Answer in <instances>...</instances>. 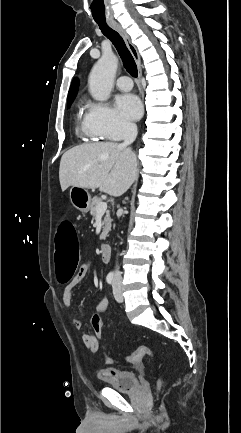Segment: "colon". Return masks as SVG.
<instances>
[{
  "label": "colon",
  "instance_id": "5ec220e1",
  "mask_svg": "<svg viewBox=\"0 0 241 433\" xmlns=\"http://www.w3.org/2000/svg\"><path fill=\"white\" fill-rule=\"evenodd\" d=\"M77 227L73 220H62L60 225H55V230L51 231V246L57 270V279L60 283H67L76 270L79 262V245L77 238H74ZM89 323L93 326L97 336L101 334V316L95 314ZM90 348H95V342H88ZM155 358L153 350L148 346H140L136 351L126 356V361L139 365L144 357ZM107 361H110L106 357ZM106 373H113L111 369L105 370Z\"/></svg>",
  "mask_w": 241,
  "mask_h": 433
}]
</instances>
